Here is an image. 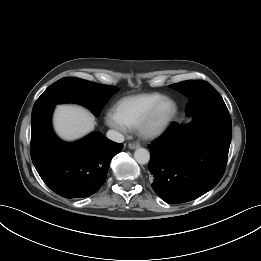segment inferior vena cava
<instances>
[{"mask_svg":"<svg viewBox=\"0 0 261 261\" xmlns=\"http://www.w3.org/2000/svg\"><path fill=\"white\" fill-rule=\"evenodd\" d=\"M107 138L117 143L124 142V136L115 130H109L107 132Z\"/></svg>","mask_w":261,"mask_h":261,"instance_id":"1","label":"inferior vena cava"}]
</instances>
